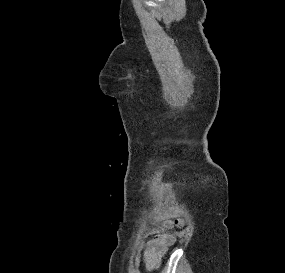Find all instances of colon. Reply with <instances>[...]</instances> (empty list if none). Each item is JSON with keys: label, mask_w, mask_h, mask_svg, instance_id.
Listing matches in <instances>:
<instances>
[{"label": "colon", "mask_w": 285, "mask_h": 273, "mask_svg": "<svg viewBox=\"0 0 285 273\" xmlns=\"http://www.w3.org/2000/svg\"><path fill=\"white\" fill-rule=\"evenodd\" d=\"M176 225H182V221L181 220H177L176 221Z\"/></svg>", "instance_id": "obj_1"}]
</instances>
